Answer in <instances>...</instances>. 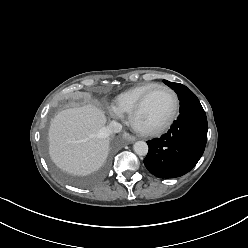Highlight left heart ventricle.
Masks as SVG:
<instances>
[{
  "mask_svg": "<svg viewBox=\"0 0 248 248\" xmlns=\"http://www.w3.org/2000/svg\"><path fill=\"white\" fill-rule=\"evenodd\" d=\"M173 99L168 91L155 89L147 98L137 117V125L144 129H153L163 124L170 116Z\"/></svg>",
  "mask_w": 248,
  "mask_h": 248,
  "instance_id": "1",
  "label": "left heart ventricle"
}]
</instances>
